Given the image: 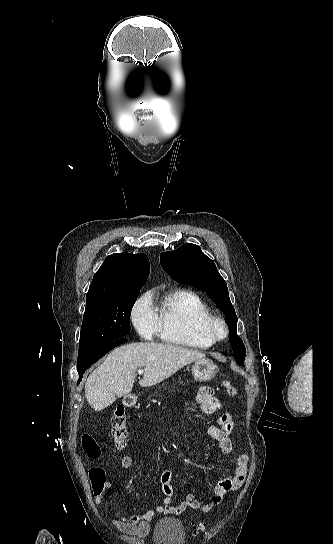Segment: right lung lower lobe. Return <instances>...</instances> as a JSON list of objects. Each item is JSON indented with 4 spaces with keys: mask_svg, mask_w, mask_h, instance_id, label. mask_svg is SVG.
I'll use <instances>...</instances> for the list:
<instances>
[{
    "mask_svg": "<svg viewBox=\"0 0 333 544\" xmlns=\"http://www.w3.org/2000/svg\"><path fill=\"white\" fill-rule=\"evenodd\" d=\"M127 341V339H120V340H117L115 341L108 349H106L105 351L97 354L95 357L91 358L89 361H87L84 365L80 366V367H77V370H78V373H79V380H78V384L80 383L81 379H82V376H83V373L93 364L95 363L97 360H99L101 357H103L107 352H109L111 349L115 348L116 346L122 344V343H125Z\"/></svg>",
    "mask_w": 333,
    "mask_h": 544,
    "instance_id": "obj_1",
    "label": "right lung lower lobe"
}]
</instances>
